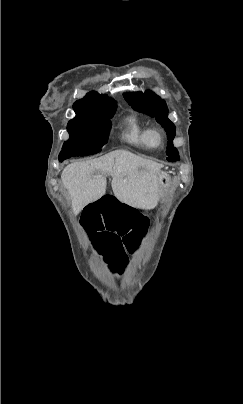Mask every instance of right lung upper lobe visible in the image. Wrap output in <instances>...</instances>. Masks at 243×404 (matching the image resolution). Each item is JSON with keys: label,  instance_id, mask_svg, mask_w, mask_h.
<instances>
[{"label": "right lung upper lobe", "instance_id": "obj_1", "mask_svg": "<svg viewBox=\"0 0 243 404\" xmlns=\"http://www.w3.org/2000/svg\"><path fill=\"white\" fill-rule=\"evenodd\" d=\"M115 107L116 102L113 99L97 92H90L83 99L73 104L77 116L99 113Z\"/></svg>", "mask_w": 243, "mask_h": 404}]
</instances>
